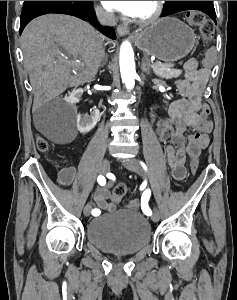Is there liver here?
<instances>
[{"label":"liver","instance_id":"liver-1","mask_svg":"<svg viewBox=\"0 0 237 300\" xmlns=\"http://www.w3.org/2000/svg\"><path fill=\"white\" fill-rule=\"evenodd\" d=\"M24 67L37 99L60 95L94 79L104 59L103 37L91 25L69 15H42L21 35ZM83 61V63H78ZM72 71H76L73 75Z\"/></svg>","mask_w":237,"mask_h":300}]
</instances>
